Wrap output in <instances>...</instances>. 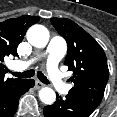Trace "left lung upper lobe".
<instances>
[{"instance_id": "5c2ea615", "label": "left lung upper lobe", "mask_w": 117, "mask_h": 117, "mask_svg": "<svg viewBox=\"0 0 117 117\" xmlns=\"http://www.w3.org/2000/svg\"><path fill=\"white\" fill-rule=\"evenodd\" d=\"M51 22L68 45L65 65L73 71L70 80L74 84L68 95L94 111L109 78L106 55L96 40L72 20L51 18Z\"/></svg>"}]
</instances>
